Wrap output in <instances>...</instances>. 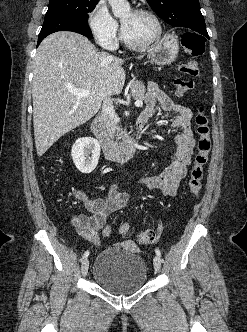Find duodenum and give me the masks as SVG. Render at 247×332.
<instances>
[{
    "mask_svg": "<svg viewBox=\"0 0 247 332\" xmlns=\"http://www.w3.org/2000/svg\"><path fill=\"white\" fill-rule=\"evenodd\" d=\"M147 119L140 115L137 120V125L142 130L146 125ZM91 130L94 135L99 139L102 145L103 152L108 159L127 161L132 159L139 150V141L135 140L122 146L114 145L107 137L101 118L98 116L93 119L91 123Z\"/></svg>",
    "mask_w": 247,
    "mask_h": 332,
    "instance_id": "duodenum-1",
    "label": "duodenum"
}]
</instances>
